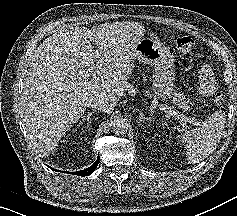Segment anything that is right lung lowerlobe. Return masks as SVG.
I'll return each mask as SVG.
<instances>
[{"label": "right lung lower lobe", "instance_id": "right-lung-lower-lobe-1", "mask_svg": "<svg viewBox=\"0 0 237 216\" xmlns=\"http://www.w3.org/2000/svg\"><path fill=\"white\" fill-rule=\"evenodd\" d=\"M99 160H100V156H98L97 160L95 161V163L92 166H90L89 168H86L84 170H81V171H76V172H74V174L80 175V176H88V175L92 174L95 171V169L97 168V165L99 164ZM49 168H51V167H49ZM51 169L54 170L53 168H51ZM55 171L58 172L59 170H55ZM66 173H68V172H66Z\"/></svg>", "mask_w": 237, "mask_h": 216}]
</instances>
